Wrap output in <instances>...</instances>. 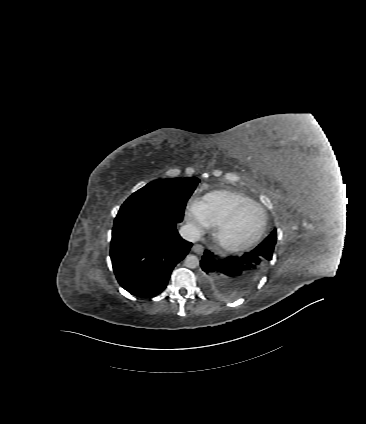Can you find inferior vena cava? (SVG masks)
<instances>
[{
	"mask_svg": "<svg viewBox=\"0 0 366 424\" xmlns=\"http://www.w3.org/2000/svg\"><path fill=\"white\" fill-rule=\"evenodd\" d=\"M179 234L183 239L192 243L197 242L200 239V232L198 228L191 223L183 225L179 229Z\"/></svg>",
	"mask_w": 366,
	"mask_h": 424,
	"instance_id": "602c4592",
	"label": "inferior vena cava"
}]
</instances>
